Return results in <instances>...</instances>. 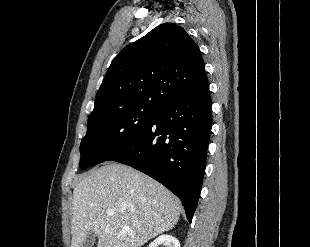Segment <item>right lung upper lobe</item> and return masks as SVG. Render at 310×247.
Returning <instances> with one entry per match:
<instances>
[{
  "label": "right lung upper lobe",
  "mask_w": 310,
  "mask_h": 247,
  "mask_svg": "<svg viewBox=\"0 0 310 247\" xmlns=\"http://www.w3.org/2000/svg\"><path fill=\"white\" fill-rule=\"evenodd\" d=\"M207 82L197 44L182 27L164 23L113 59L89 119L125 108L158 110Z\"/></svg>",
  "instance_id": "1"
}]
</instances>
